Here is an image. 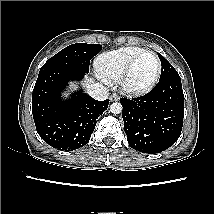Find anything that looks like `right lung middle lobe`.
<instances>
[{
	"mask_svg": "<svg viewBox=\"0 0 214 214\" xmlns=\"http://www.w3.org/2000/svg\"><path fill=\"white\" fill-rule=\"evenodd\" d=\"M100 44H72L51 57L40 69L39 74L50 70H72L89 72L90 59L101 51Z\"/></svg>",
	"mask_w": 214,
	"mask_h": 214,
	"instance_id": "right-lung-middle-lobe-1",
	"label": "right lung middle lobe"
}]
</instances>
